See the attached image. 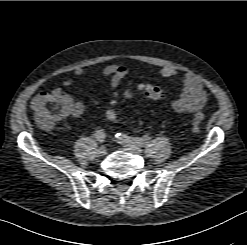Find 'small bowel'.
<instances>
[{"label":"small bowel","instance_id":"1","mask_svg":"<svg viewBox=\"0 0 247 245\" xmlns=\"http://www.w3.org/2000/svg\"><path fill=\"white\" fill-rule=\"evenodd\" d=\"M73 72L76 76H81L84 75L87 70L83 67H77ZM158 73L165 78L176 77L183 85L180 95L172 104L173 109L178 115L193 113L205 105L207 101V92L205 91L201 80L196 75L189 72L182 73L172 67H162L158 70ZM100 74L110 77L106 92L113 93L128 76L129 69L124 65L109 64L101 70ZM72 84V79H66L63 82L64 87H70ZM52 92L62 94L70 102L71 109L67 116L78 118L84 113L85 106L83 102L74 100L69 94L63 92L61 89H55ZM43 94H45V92L38 94L34 100ZM125 97L129 100H133L135 94L131 89H127L125 91Z\"/></svg>","mask_w":247,"mask_h":245}]
</instances>
